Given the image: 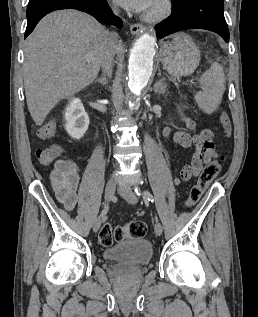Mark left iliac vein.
<instances>
[{
  "label": "left iliac vein",
  "mask_w": 258,
  "mask_h": 317,
  "mask_svg": "<svg viewBox=\"0 0 258 317\" xmlns=\"http://www.w3.org/2000/svg\"><path fill=\"white\" fill-rule=\"evenodd\" d=\"M129 186H118V194H121L125 197L126 202L135 203L137 201V195L135 192H133ZM155 235L161 236L162 235V224L160 222H155Z\"/></svg>",
  "instance_id": "4c4485c4"
}]
</instances>
